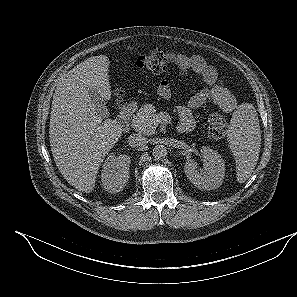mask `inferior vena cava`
I'll list each match as a JSON object with an SVG mask.
<instances>
[{
    "label": "inferior vena cava",
    "instance_id": "obj_1",
    "mask_svg": "<svg viewBox=\"0 0 297 297\" xmlns=\"http://www.w3.org/2000/svg\"><path fill=\"white\" fill-rule=\"evenodd\" d=\"M148 139L141 134H132L128 137V144L132 147H144Z\"/></svg>",
    "mask_w": 297,
    "mask_h": 297
}]
</instances>
